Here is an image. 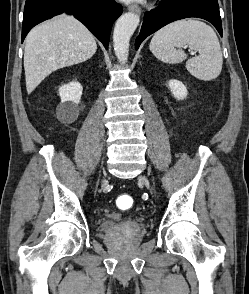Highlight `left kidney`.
<instances>
[{"instance_id":"5707ae66","label":"left kidney","mask_w":249,"mask_h":294,"mask_svg":"<svg viewBox=\"0 0 249 294\" xmlns=\"http://www.w3.org/2000/svg\"><path fill=\"white\" fill-rule=\"evenodd\" d=\"M169 88L174 97L178 100H183L188 94L187 87L178 80H170Z\"/></svg>"}]
</instances>
